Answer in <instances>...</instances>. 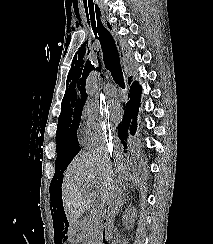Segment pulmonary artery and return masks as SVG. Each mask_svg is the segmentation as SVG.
<instances>
[{
  "mask_svg": "<svg viewBox=\"0 0 213 244\" xmlns=\"http://www.w3.org/2000/svg\"><path fill=\"white\" fill-rule=\"evenodd\" d=\"M105 92L108 96L116 95V88H115L114 84L107 83L105 86Z\"/></svg>",
  "mask_w": 213,
  "mask_h": 244,
  "instance_id": "obj_1",
  "label": "pulmonary artery"
}]
</instances>
